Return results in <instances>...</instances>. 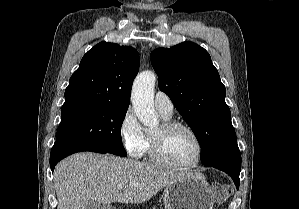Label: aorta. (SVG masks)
<instances>
[{
	"label": "aorta",
	"mask_w": 299,
	"mask_h": 209,
	"mask_svg": "<svg viewBox=\"0 0 299 209\" xmlns=\"http://www.w3.org/2000/svg\"><path fill=\"white\" fill-rule=\"evenodd\" d=\"M156 76L151 71L140 73L134 80L131 102L139 121L148 127L159 124V117L154 108V87Z\"/></svg>",
	"instance_id": "762f6f07"
}]
</instances>
